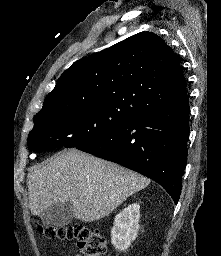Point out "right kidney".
<instances>
[{
  "label": "right kidney",
  "instance_id": "1",
  "mask_svg": "<svg viewBox=\"0 0 221 256\" xmlns=\"http://www.w3.org/2000/svg\"><path fill=\"white\" fill-rule=\"evenodd\" d=\"M140 205L134 203L118 213L111 231V243L115 249L125 251L137 238L139 231Z\"/></svg>",
  "mask_w": 221,
  "mask_h": 256
}]
</instances>
